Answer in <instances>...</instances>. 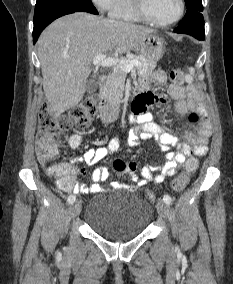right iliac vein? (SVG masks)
<instances>
[{
  "mask_svg": "<svg viewBox=\"0 0 233 284\" xmlns=\"http://www.w3.org/2000/svg\"><path fill=\"white\" fill-rule=\"evenodd\" d=\"M81 211V202L79 200L72 203L70 206V214L72 217H76L80 214Z\"/></svg>",
  "mask_w": 233,
  "mask_h": 284,
  "instance_id": "right-iliac-vein-1",
  "label": "right iliac vein"
}]
</instances>
